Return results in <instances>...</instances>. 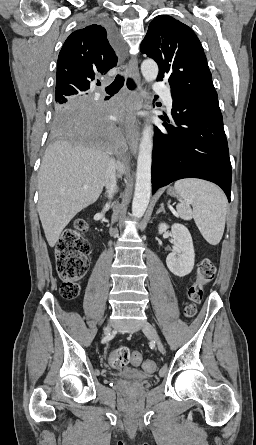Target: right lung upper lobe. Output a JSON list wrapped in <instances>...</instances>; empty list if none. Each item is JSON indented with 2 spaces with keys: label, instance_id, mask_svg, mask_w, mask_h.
<instances>
[{
  "label": "right lung upper lobe",
  "instance_id": "1",
  "mask_svg": "<svg viewBox=\"0 0 256 445\" xmlns=\"http://www.w3.org/2000/svg\"><path fill=\"white\" fill-rule=\"evenodd\" d=\"M116 65V44L103 23L74 31L58 56L55 97L87 93L99 75H105Z\"/></svg>",
  "mask_w": 256,
  "mask_h": 445
}]
</instances>
